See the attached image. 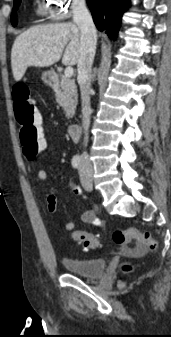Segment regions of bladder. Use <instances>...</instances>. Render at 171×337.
<instances>
[{
	"mask_svg": "<svg viewBox=\"0 0 171 337\" xmlns=\"http://www.w3.org/2000/svg\"><path fill=\"white\" fill-rule=\"evenodd\" d=\"M63 264L69 274L86 278H97L104 274L106 261L102 258L86 259L76 257H64Z\"/></svg>",
	"mask_w": 171,
	"mask_h": 337,
	"instance_id": "31cf9c89",
	"label": "bladder"
}]
</instances>
